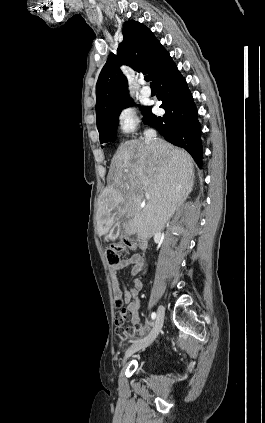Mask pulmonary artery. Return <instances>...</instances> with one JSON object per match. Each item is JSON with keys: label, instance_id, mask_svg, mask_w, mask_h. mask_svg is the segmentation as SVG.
Masks as SVG:
<instances>
[{"label": "pulmonary artery", "instance_id": "1", "mask_svg": "<svg viewBox=\"0 0 265 423\" xmlns=\"http://www.w3.org/2000/svg\"><path fill=\"white\" fill-rule=\"evenodd\" d=\"M140 92H141L142 95L147 96V97L151 95V89L148 86H146L144 83L141 87Z\"/></svg>", "mask_w": 265, "mask_h": 423}]
</instances>
